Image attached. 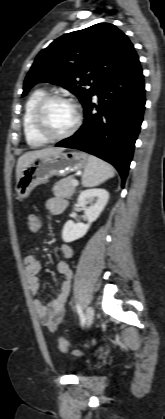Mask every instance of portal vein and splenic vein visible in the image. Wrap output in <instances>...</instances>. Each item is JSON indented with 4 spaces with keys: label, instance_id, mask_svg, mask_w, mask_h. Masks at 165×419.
Returning a JSON list of instances; mask_svg holds the SVG:
<instances>
[{
    "label": "portal vein and splenic vein",
    "instance_id": "portal-vein-and-splenic-vein-1",
    "mask_svg": "<svg viewBox=\"0 0 165 419\" xmlns=\"http://www.w3.org/2000/svg\"><path fill=\"white\" fill-rule=\"evenodd\" d=\"M72 185H73V186H78V181H77V180H73V181H72Z\"/></svg>",
    "mask_w": 165,
    "mask_h": 419
}]
</instances>
